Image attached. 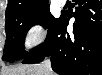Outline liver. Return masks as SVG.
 <instances>
[{"label":"liver","mask_w":102,"mask_h":75,"mask_svg":"<svg viewBox=\"0 0 102 75\" xmlns=\"http://www.w3.org/2000/svg\"><path fill=\"white\" fill-rule=\"evenodd\" d=\"M1 75H54L44 63L34 65H20L7 69H2Z\"/></svg>","instance_id":"liver-1"}]
</instances>
